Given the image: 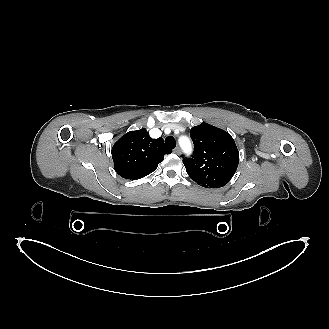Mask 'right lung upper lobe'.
I'll list each match as a JSON object with an SVG mask.
<instances>
[{
  "label": "right lung upper lobe",
  "mask_w": 329,
  "mask_h": 329,
  "mask_svg": "<svg viewBox=\"0 0 329 329\" xmlns=\"http://www.w3.org/2000/svg\"><path fill=\"white\" fill-rule=\"evenodd\" d=\"M115 171L125 179H140L152 173L171 150L163 139H152L146 129L130 131L112 147Z\"/></svg>",
  "instance_id": "cb5924a9"
}]
</instances>
